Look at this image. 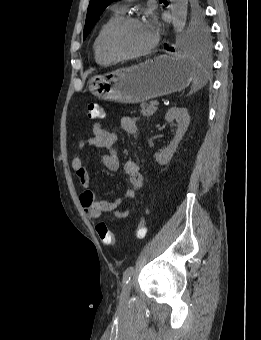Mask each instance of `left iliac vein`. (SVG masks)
<instances>
[{
	"mask_svg": "<svg viewBox=\"0 0 261 340\" xmlns=\"http://www.w3.org/2000/svg\"><path fill=\"white\" fill-rule=\"evenodd\" d=\"M132 284H133L132 281H129L127 284H125L124 289L121 294V299L127 300L129 298Z\"/></svg>",
	"mask_w": 261,
	"mask_h": 340,
	"instance_id": "1",
	"label": "left iliac vein"
}]
</instances>
